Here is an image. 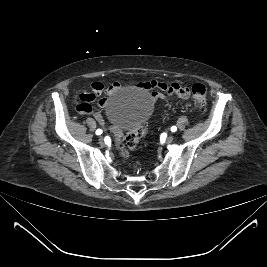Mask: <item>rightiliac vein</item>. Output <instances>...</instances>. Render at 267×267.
<instances>
[{"instance_id":"right-iliac-vein-1","label":"right iliac vein","mask_w":267,"mask_h":267,"mask_svg":"<svg viewBox=\"0 0 267 267\" xmlns=\"http://www.w3.org/2000/svg\"><path fill=\"white\" fill-rule=\"evenodd\" d=\"M98 141L100 145H105L103 137H99Z\"/></svg>"}]
</instances>
